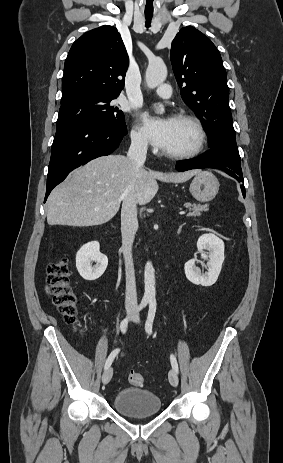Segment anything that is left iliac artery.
Here are the masks:
<instances>
[{
	"label": "left iliac artery",
	"instance_id": "left-iliac-artery-1",
	"mask_svg": "<svg viewBox=\"0 0 283 463\" xmlns=\"http://www.w3.org/2000/svg\"><path fill=\"white\" fill-rule=\"evenodd\" d=\"M155 312H156V300L151 299L149 302L148 316H147V320L145 323V330L148 334L152 333V326H153V321L155 317ZM170 361H171L172 368L176 372H178V364H177V360L174 355L170 356Z\"/></svg>",
	"mask_w": 283,
	"mask_h": 463
}]
</instances>
